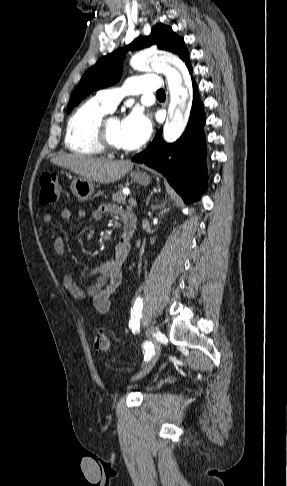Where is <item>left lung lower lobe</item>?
<instances>
[{"label": "left lung lower lobe", "mask_w": 287, "mask_h": 486, "mask_svg": "<svg viewBox=\"0 0 287 486\" xmlns=\"http://www.w3.org/2000/svg\"><path fill=\"white\" fill-rule=\"evenodd\" d=\"M185 64L189 73H192L189 58L185 60ZM193 88L190 120L182 136L173 144L165 143L160 130L152 143L132 158L134 162L144 163L166 176L185 203L197 200L200 192L206 190L203 178L207 171L203 132L205 114L194 79Z\"/></svg>", "instance_id": "1"}]
</instances>
